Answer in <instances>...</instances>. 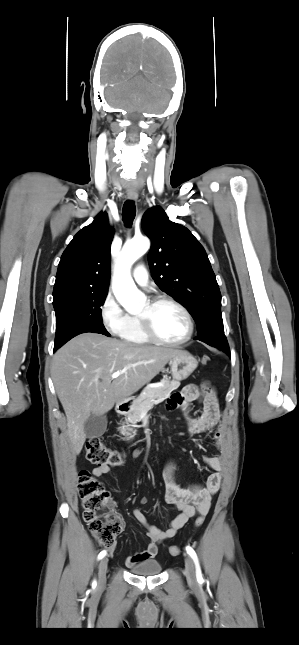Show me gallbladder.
<instances>
[{"label": "gallbladder", "mask_w": 299, "mask_h": 645, "mask_svg": "<svg viewBox=\"0 0 299 645\" xmlns=\"http://www.w3.org/2000/svg\"><path fill=\"white\" fill-rule=\"evenodd\" d=\"M107 429V417L106 415H94L86 420L84 424V431L87 438H96L102 436Z\"/></svg>", "instance_id": "1"}]
</instances>
